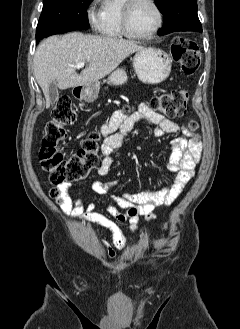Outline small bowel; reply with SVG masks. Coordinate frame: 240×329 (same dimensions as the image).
<instances>
[{
	"instance_id": "small-bowel-1",
	"label": "small bowel",
	"mask_w": 240,
	"mask_h": 329,
	"mask_svg": "<svg viewBox=\"0 0 240 329\" xmlns=\"http://www.w3.org/2000/svg\"><path fill=\"white\" fill-rule=\"evenodd\" d=\"M145 123L155 126L154 135L177 134L171 144V156L168 169L176 172L174 181L162 188L136 194H111V190L118 182L103 183L95 181L91 188L99 194H109L112 204L107 205L108 215L96 211V204H84L80 197L72 201L67 192L71 184L58 185L57 190L62 193L63 204L67 212L77 219L101 225L110 235V242H103L108 257L117 258L118 251H124L129 243L134 241L139 231L138 219L144 217L146 221L154 219V209L158 206L171 205L181 194L186 184L194 176L195 167L201 158V146L193 141L195 131L190 130L186 123H178L167 119L151 108L147 103H140L137 108L117 110L110 121L101 130L102 143L100 164L95 173L99 177L106 176L115 161L114 151L119 148L125 137L138 124ZM122 209V211L119 210ZM118 223H128L132 236L127 239Z\"/></svg>"
}]
</instances>
